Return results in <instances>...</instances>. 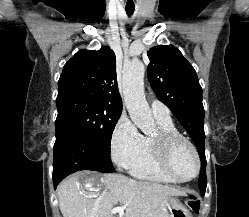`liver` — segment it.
I'll return each mask as SVG.
<instances>
[{
    "mask_svg": "<svg viewBox=\"0 0 249 217\" xmlns=\"http://www.w3.org/2000/svg\"><path fill=\"white\" fill-rule=\"evenodd\" d=\"M80 178L92 186L82 187ZM185 194L171 186L138 181L121 174L93 172L76 174L58 186L63 217H111V211L118 205L125 208V217H169L168 198Z\"/></svg>",
    "mask_w": 249,
    "mask_h": 217,
    "instance_id": "obj_1",
    "label": "liver"
}]
</instances>
